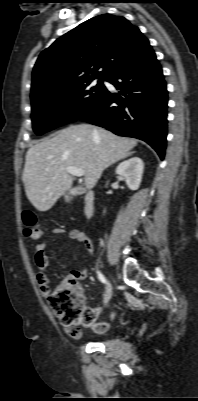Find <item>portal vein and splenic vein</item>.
I'll return each instance as SVG.
<instances>
[{
	"instance_id": "obj_1",
	"label": "portal vein and splenic vein",
	"mask_w": 198,
	"mask_h": 401,
	"mask_svg": "<svg viewBox=\"0 0 198 401\" xmlns=\"http://www.w3.org/2000/svg\"><path fill=\"white\" fill-rule=\"evenodd\" d=\"M66 170H67L68 173H70L73 176H77V177L84 176V171L81 168L66 167Z\"/></svg>"
}]
</instances>
